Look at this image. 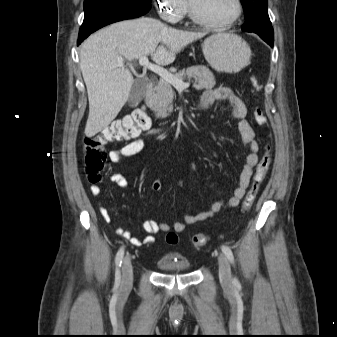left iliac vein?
<instances>
[{
    "label": "left iliac vein",
    "instance_id": "1",
    "mask_svg": "<svg viewBox=\"0 0 337 337\" xmlns=\"http://www.w3.org/2000/svg\"><path fill=\"white\" fill-rule=\"evenodd\" d=\"M218 264H219V277L222 285L225 287H230L232 284L231 269L228 259L223 254H220L218 256Z\"/></svg>",
    "mask_w": 337,
    "mask_h": 337
}]
</instances>
